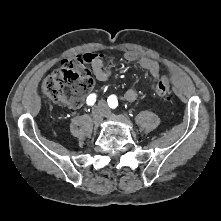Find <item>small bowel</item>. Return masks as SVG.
I'll return each mask as SVG.
<instances>
[{
	"mask_svg": "<svg viewBox=\"0 0 221 221\" xmlns=\"http://www.w3.org/2000/svg\"><path fill=\"white\" fill-rule=\"evenodd\" d=\"M88 63L91 64L93 73L99 81H107L111 77V71L105 65L101 55L94 53H87L84 56ZM126 60L130 62L138 61L142 69L147 71L152 80H156L160 74V65L156 60L148 57H138V55L133 51H128L125 53ZM138 93L135 89L130 88L124 94V100L126 102H134L137 99Z\"/></svg>",
	"mask_w": 221,
	"mask_h": 221,
	"instance_id": "1",
	"label": "small bowel"
}]
</instances>
